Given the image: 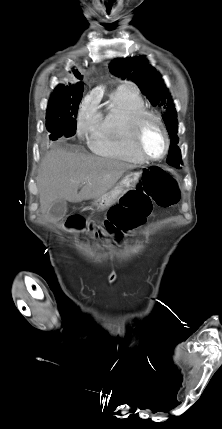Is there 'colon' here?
<instances>
[{
	"label": "colon",
	"instance_id": "1",
	"mask_svg": "<svg viewBox=\"0 0 222 429\" xmlns=\"http://www.w3.org/2000/svg\"><path fill=\"white\" fill-rule=\"evenodd\" d=\"M179 199L180 192L175 178L161 167L146 166L140 172V181L136 188L126 193L109 209L99 231L120 234L134 229L151 214L153 205L169 208L176 205ZM68 224L80 228L84 221L73 216L68 219Z\"/></svg>",
	"mask_w": 222,
	"mask_h": 429
}]
</instances>
